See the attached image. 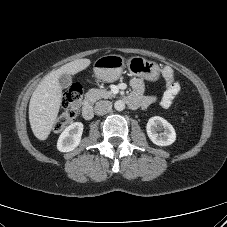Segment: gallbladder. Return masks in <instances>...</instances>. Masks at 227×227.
<instances>
[{
    "instance_id": "1",
    "label": "gallbladder",
    "mask_w": 227,
    "mask_h": 227,
    "mask_svg": "<svg viewBox=\"0 0 227 227\" xmlns=\"http://www.w3.org/2000/svg\"><path fill=\"white\" fill-rule=\"evenodd\" d=\"M59 83L62 88H67L72 83V77L69 74H62L59 76Z\"/></svg>"
}]
</instances>
